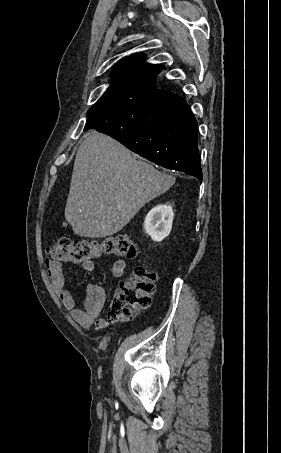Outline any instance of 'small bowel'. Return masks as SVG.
<instances>
[{
    "label": "small bowel",
    "mask_w": 281,
    "mask_h": 453,
    "mask_svg": "<svg viewBox=\"0 0 281 453\" xmlns=\"http://www.w3.org/2000/svg\"><path fill=\"white\" fill-rule=\"evenodd\" d=\"M86 267L90 271L95 270V264L93 262L87 263ZM126 268V261L117 259L114 263V277L116 279H122ZM46 269L58 296L81 327L87 329L94 325L95 331H98L108 326V322L101 316L107 295L106 289L102 285L98 283H89L86 285V297L83 308L81 309L76 305L72 294L66 288L59 260L55 258L47 260Z\"/></svg>",
    "instance_id": "obj_1"
}]
</instances>
